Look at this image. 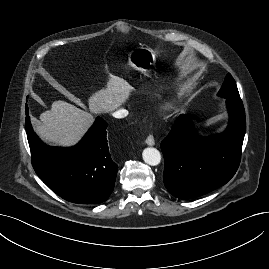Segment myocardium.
Wrapping results in <instances>:
<instances>
[{
    "mask_svg": "<svg viewBox=\"0 0 269 269\" xmlns=\"http://www.w3.org/2000/svg\"><path fill=\"white\" fill-rule=\"evenodd\" d=\"M167 111H168V112H172V108H171V107H168V108H167Z\"/></svg>",
    "mask_w": 269,
    "mask_h": 269,
    "instance_id": "obj_1",
    "label": "myocardium"
}]
</instances>
